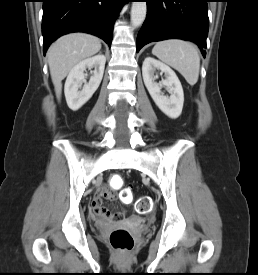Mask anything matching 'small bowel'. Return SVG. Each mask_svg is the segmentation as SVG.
Masks as SVG:
<instances>
[{
  "instance_id": "1",
  "label": "small bowel",
  "mask_w": 258,
  "mask_h": 275,
  "mask_svg": "<svg viewBox=\"0 0 258 275\" xmlns=\"http://www.w3.org/2000/svg\"><path fill=\"white\" fill-rule=\"evenodd\" d=\"M107 197L108 199H114L115 195L111 189L106 186L98 188L95 192L94 198L91 202V208L93 211L102 218H109L112 219V214L110 211L103 206L102 198ZM123 216V213H120Z\"/></svg>"
}]
</instances>
